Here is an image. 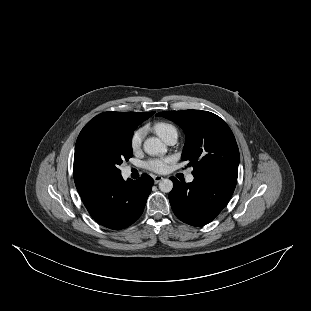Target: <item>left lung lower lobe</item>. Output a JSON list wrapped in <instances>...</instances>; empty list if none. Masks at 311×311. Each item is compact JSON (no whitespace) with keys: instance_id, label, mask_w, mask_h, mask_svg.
<instances>
[{"instance_id":"1","label":"left lung lower lobe","mask_w":311,"mask_h":311,"mask_svg":"<svg viewBox=\"0 0 311 311\" xmlns=\"http://www.w3.org/2000/svg\"><path fill=\"white\" fill-rule=\"evenodd\" d=\"M235 174L194 177L191 183L171 177L173 189L169 201L174 214L184 223L203 226L211 222L230 200L236 183Z\"/></svg>"}]
</instances>
